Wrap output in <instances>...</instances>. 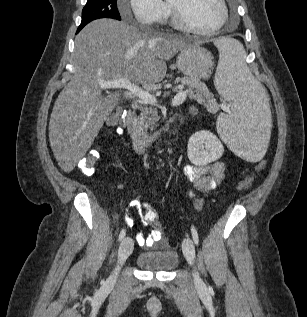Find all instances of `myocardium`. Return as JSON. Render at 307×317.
<instances>
[{
  "mask_svg": "<svg viewBox=\"0 0 307 317\" xmlns=\"http://www.w3.org/2000/svg\"><path fill=\"white\" fill-rule=\"evenodd\" d=\"M218 2L220 4L221 10H222L221 19L217 23L216 26H214L213 28L208 29V30L197 29V28L193 27L192 25H190L185 20L181 11L176 6H174L169 0H167V5L169 8L172 24L177 29L184 31V32L191 33V34H195V35L209 36V35H212V34H215L216 32H218L225 25V23L227 22L228 16H229V10H228V6H227L226 1L225 0H218Z\"/></svg>",
  "mask_w": 307,
  "mask_h": 317,
  "instance_id": "f54148a6",
  "label": "myocardium"
}]
</instances>
